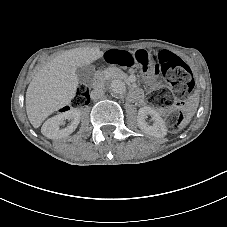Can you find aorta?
<instances>
[{
    "instance_id": "obj_1",
    "label": "aorta",
    "mask_w": 227,
    "mask_h": 227,
    "mask_svg": "<svg viewBox=\"0 0 227 227\" xmlns=\"http://www.w3.org/2000/svg\"><path fill=\"white\" fill-rule=\"evenodd\" d=\"M110 89L115 95H124L126 93V85L120 79L113 80L110 84Z\"/></svg>"
}]
</instances>
